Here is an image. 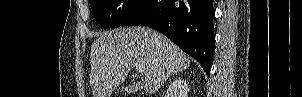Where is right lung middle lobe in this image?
<instances>
[{
  "mask_svg": "<svg viewBox=\"0 0 302 97\" xmlns=\"http://www.w3.org/2000/svg\"><path fill=\"white\" fill-rule=\"evenodd\" d=\"M146 0H89L96 20L104 28H115L123 23Z\"/></svg>",
  "mask_w": 302,
  "mask_h": 97,
  "instance_id": "1",
  "label": "right lung middle lobe"
}]
</instances>
